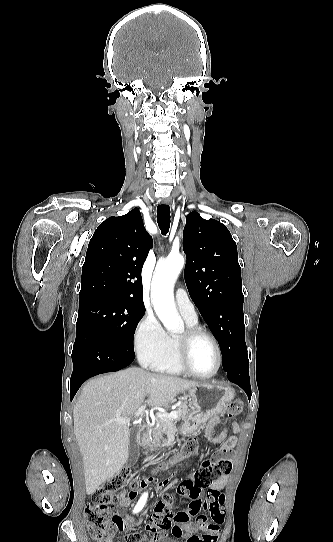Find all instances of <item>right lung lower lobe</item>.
Segmentation results:
<instances>
[{
  "mask_svg": "<svg viewBox=\"0 0 333 542\" xmlns=\"http://www.w3.org/2000/svg\"><path fill=\"white\" fill-rule=\"evenodd\" d=\"M135 358L94 326L82 325L72 351L71 400L84 381L98 374L114 372L130 365Z\"/></svg>",
  "mask_w": 333,
  "mask_h": 542,
  "instance_id": "98d812e1",
  "label": "right lung lower lobe"
}]
</instances>
